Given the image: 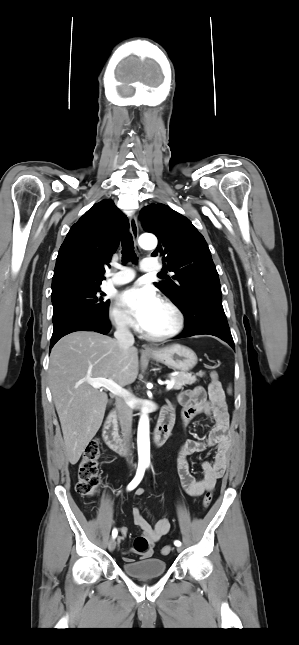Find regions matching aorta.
<instances>
[{
	"label": "aorta",
	"mask_w": 299,
	"mask_h": 645,
	"mask_svg": "<svg viewBox=\"0 0 299 645\" xmlns=\"http://www.w3.org/2000/svg\"><path fill=\"white\" fill-rule=\"evenodd\" d=\"M139 245L144 249H154L157 246V239L154 235L144 234L139 238ZM137 447L139 464H149L150 462V438H149V418L147 412H143L137 432Z\"/></svg>",
	"instance_id": "1"
}]
</instances>
